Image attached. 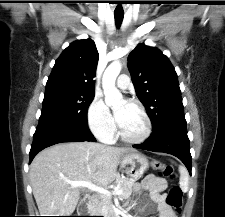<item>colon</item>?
I'll list each match as a JSON object with an SVG mask.
<instances>
[{"label": "colon", "instance_id": "obj_1", "mask_svg": "<svg viewBox=\"0 0 225 217\" xmlns=\"http://www.w3.org/2000/svg\"><path fill=\"white\" fill-rule=\"evenodd\" d=\"M152 167L157 170L161 176L166 178H173L174 177V170L171 166L166 165L160 161H154L152 164ZM166 203L176 210L177 212H180L182 207V191L181 189L173 185L170 187L169 192L165 196Z\"/></svg>", "mask_w": 225, "mask_h": 217}]
</instances>
